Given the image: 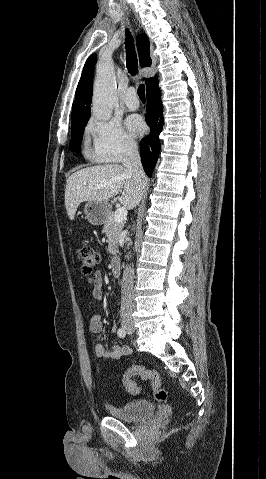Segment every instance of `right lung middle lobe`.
I'll return each mask as SVG.
<instances>
[{"label":"right lung middle lobe","mask_w":266,"mask_h":479,"mask_svg":"<svg viewBox=\"0 0 266 479\" xmlns=\"http://www.w3.org/2000/svg\"><path fill=\"white\" fill-rule=\"evenodd\" d=\"M89 118H85L72 123V134L70 147L72 152H79L81 141L84 133V128L88 122Z\"/></svg>","instance_id":"dd1d6c3e"}]
</instances>
